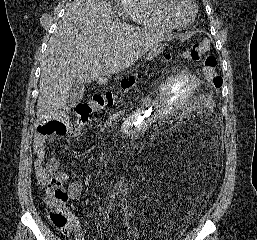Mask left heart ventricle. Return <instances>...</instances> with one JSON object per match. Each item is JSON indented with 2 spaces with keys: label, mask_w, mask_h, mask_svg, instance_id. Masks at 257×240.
Wrapping results in <instances>:
<instances>
[{
  "label": "left heart ventricle",
  "mask_w": 257,
  "mask_h": 240,
  "mask_svg": "<svg viewBox=\"0 0 257 240\" xmlns=\"http://www.w3.org/2000/svg\"><path fill=\"white\" fill-rule=\"evenodd\" d=\"M192 10L189 0H166V11L178 24L186 23L191 18Z\"/></svg>",
  "instance_id": "1"
}]
</instances>
